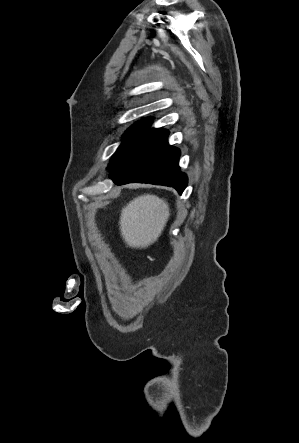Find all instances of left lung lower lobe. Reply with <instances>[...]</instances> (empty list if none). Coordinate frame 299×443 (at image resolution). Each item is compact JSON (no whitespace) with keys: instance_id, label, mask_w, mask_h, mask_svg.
<instances>
[{"instance_id":"left-lung-lower-lobe-1","label":"left lung lower lobe","mask_w":299,"mask_h":443,"mask_svg":"<svg viewBox=\"0 0 299 443\" xmlns=\"http://www.w3.org/2000/svg\"><path fill=\"white\" fill-rule=\"evenodd\" d=\"M168 134L164 129H149L115 163L109 177L117 185L151 183L173 187L182 194L187 177L180 172V151L168 144Z\"/></svg>"}]
</instances>
